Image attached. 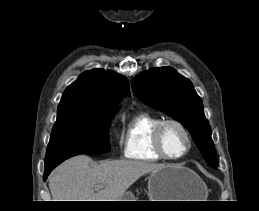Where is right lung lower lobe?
I'll list each match as a JSON object with an SVG mask.
<instances>
[{
    "label": "right lung lower lobe",
    "mask_w": 259,
    "mask_h": 211,
    "mask_svg": "<svg viewBox=\"0 0 259 211\" xmlns=\"http://www.w3.org/2000/svg\"><path fill=\"white\" fill-rule=\"evenodd\" d=\"M57 166V165H56ZM56 166H50V167H45L44 171V181L47 179L48 175L51 173V171L56 167Z\"/></svg>",
    "instance_id": "1"
}]
</instances>
